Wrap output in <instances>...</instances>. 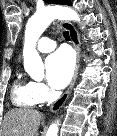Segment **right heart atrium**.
Here are the masks:
<instances>
[{"mask_svg": "<svg viewBox=\"0 0 117 136\" xmlns=\"http://www.w3.org/2000/svg\"><path fill=\"white\" fill-rule=\"evenodd\" d=\"M34 88L40 102H45L50 98L51 92L44 83L34 82Z\"/></svg>", "mask_w": 117, "mask_h": 136, "instance_id": "right-heart-atrium-1", "label": "right heart atrium"}]
</instances>
